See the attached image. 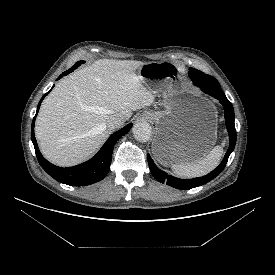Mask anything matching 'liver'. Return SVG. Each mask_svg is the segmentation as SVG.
<instances>
[{"label":"liver","mask_w":275,"mask_h":275,"mask_svg":"<svg viewBox=\"0 0 275 275\" xmlns=\"http://www.w3.org/2000/svg\"><path fill=\"white\" fill-rule=\"evenodd\" d=\"M141 61L100 59L62 79L43 101L35 135L44 157L59 166L90 158L109 135L114 114L129 119L154 103L136 70Z\"/></svg>","instance_id":"1"}]
</instances>
